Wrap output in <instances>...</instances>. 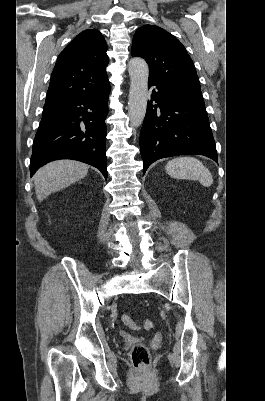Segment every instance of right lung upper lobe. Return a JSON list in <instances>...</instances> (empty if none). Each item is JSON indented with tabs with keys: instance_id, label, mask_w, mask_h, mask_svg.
Segmentation results:
<instances>
[{
	"instance_id": "obj_1",
	"label": "right lung upper lobe",
	"mask_w": 265,
	"mask_h": 401,
	"mask_svg": "<svg viewBox=\"0 0 265 401\" xmlns=\"http://www.w3.org/2000/svg\"><path fill=\"white\" fill-rule=\"evenodd\" d=\"M105 39L98 30L77 35L59 54L44 107L98 92L108 84Z\"/></svg>"
}]
</instances>
